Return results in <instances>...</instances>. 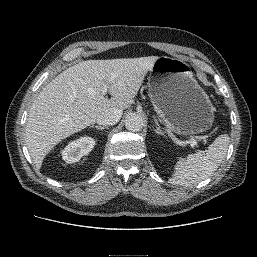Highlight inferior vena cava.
<instances>
[{
	"label": "inferior vena cava",
	"instance_id": "obj_1",
	"mask_svg": "<svg viewBox=\"0 0 257 257\" xmlns=\"http://www.w3.org/2000/svg\"><path fill=\"white\" fill-rule=\"evenodd\" d=\"M121 116H122V111L120 109L110 108L108 110L101 112L97 116L96 122L99 125H103V126L111 125L112 126L120 120Z\"/></svg>",
	"mask_w": 257,
	"mask_h": 257
}]
</instances>
